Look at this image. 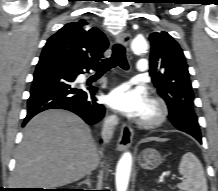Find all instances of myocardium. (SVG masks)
<instances>
[{"label":"myocardium","mask_w":218,"mask_h":191,"mask_svg":"<svg viewBox=\"0 0 218 191\" xmlns=\"http://www.w3.org/2000/svg\"><path fill=\"white\" fill-rule=\"evenodd\" d=\"M150 113L138 119V125L143 128H155L162 125L168 118V107L166 103L158 98L149 99Z\"/></svg>","instance_id":"myocardium-1"}]
</instances>
